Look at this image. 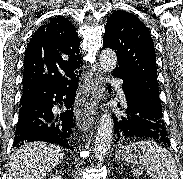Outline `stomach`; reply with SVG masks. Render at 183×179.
<instances>
[{"label": "stomach", "instance_id": "obj_1", "mask_svg": "<svg viewBox=\"0 0 183 179\" xmlns=\"http://www.w3.org/2000/svg\"><path fill=\"white\" fill-rule=\"evenodd\" d=\"M115 155L117 158L122 159L127 163H135L141 158V152L138 149L129 150L125 146H121L120 149L115 152Z\"/></svg>", "mask_w": 183, "mask_h": 179}]
</instances>
